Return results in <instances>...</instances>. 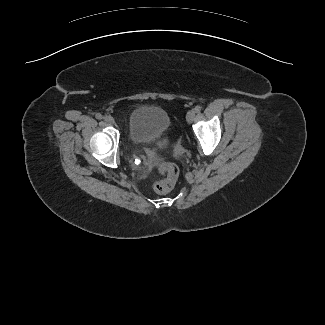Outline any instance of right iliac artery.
<instances>
[{
    "mask_svg": "<svg viewBox=\"0 0 325 325\" xmlns=\"http://www.w3.org/2000/svg\"><path fill=\"white\" fill-rule=\"evenodd\" d=\"M102 118H103V117H102V115H101L100 113L96 114V119L101 120Z\"/></svg>",
    "mask_w": 325,
    "mask_h": 325,
    "instance_id": "1",
    "label": "right iliac artery"
}]
</instances>
